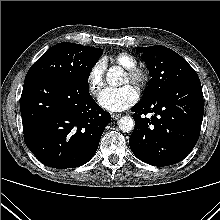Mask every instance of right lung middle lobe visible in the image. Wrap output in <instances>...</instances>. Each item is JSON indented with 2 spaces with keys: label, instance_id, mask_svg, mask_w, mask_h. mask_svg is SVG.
I'll return each instance as SVG.
<instances>
[{
  "label": "right lung middle lobe",
  "instance_id": "dd1d6c3e",
  "mask_svg": "<svg viewBox=\"0 0 220 220\" xmlns=\"http://www.w3.org/2000/svg\"><path fill=\"white\" fill-rule=\"evenodd\" d=\"M103 49L74 43H58L48 49L29 69L25 82L31 79H63L85 82Z\"/></svg>",
  "mask_w": 220,
  "mask_h": 220
}]
</instances>
